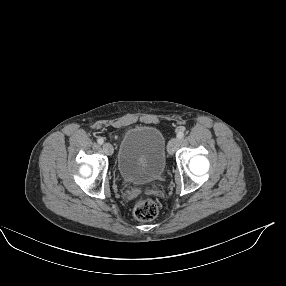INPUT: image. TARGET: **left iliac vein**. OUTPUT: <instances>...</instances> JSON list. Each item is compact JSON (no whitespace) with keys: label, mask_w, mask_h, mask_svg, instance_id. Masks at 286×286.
Segmentation results:
<instances>
[{"label":"left iliac vein","mask_w":286,"mask_h":286,"mask_svg":"<svg viewBox=\"0 0 286 286\" xmlns=\"http://www.w3.org/2000/svg\"><path fill=\"white\" fill-rule=\"evenodd\" d=\"M179 144H180V139L172 138L169 141L168 146H167L168 154L172 155L176 151V149L178 148Z\"/></svg>","instance_id":"1"}]
</instances>
